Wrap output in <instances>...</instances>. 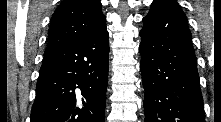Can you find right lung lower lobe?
Listing matches in <instances>:
<instances>
[{
  "label": "right lung lower lobe",
  "mask_w": 221,
  "mask_h": 122,
  "mask_svg": "<svg viewBox=\"0 0 221 122\" xmlns=\"http://www.w3.org/2000/svg\"><path fill=\"white\" fill-rule=\"evenodd\" d=\"M106 25L44 55L31 122H104L108 84Z\"/></svg>",
  "instance_id": "1"
}]
</instances>
